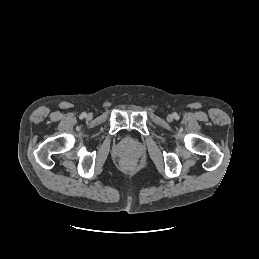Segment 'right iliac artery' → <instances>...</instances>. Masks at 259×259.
<instances>
[{
    "label": "right iliac artery",
    "instance_id": "1",
    "mask_svg": "<svg viewBox=\"0 0 259 259\" xmlns=\"http://www.w3.org/2000/svg\"><path fill=\"white\" fill-rule=\"evenodd\" d=\"M84 117H86V113H85V112H83V113L80 115V118H84Z\"/></svg>",
    "mask_w": 259,
    "mask_h": 259
}]
</instances>
